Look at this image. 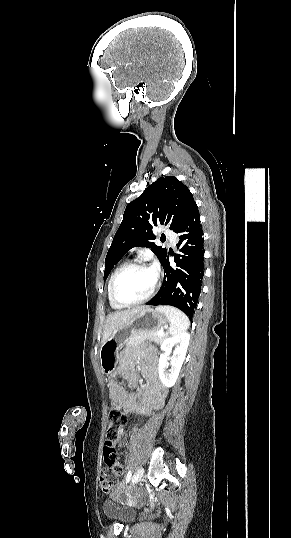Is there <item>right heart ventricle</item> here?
I'll list each match as a JSON object with an SVG mask.
<instances>
[{"instance_id": "obj_1", "label": "right heart ventricle", "mask_w": 291, "mask_h": 538, "mask_svg": "<svg viewBox=\"0 0 291 538\" xmlns=\"http://www.w3.org/2000/svg\"><path fill=\"white\" fill-rule=\"evenodd\" d=\"M128 264V262L126 260L122 261L121 263H119L115 269L113 270V272L111 273L110 275V278H109V281H108V284H107V295H108V299H109V303L110 305L113 307V308H120V306L116 305L112 299H111V296H110V287H111V282L114 278V276L123 268L125 267L126 265Z\"/></svg>"}]
</instances>
